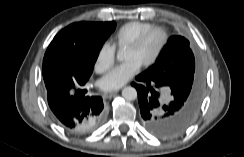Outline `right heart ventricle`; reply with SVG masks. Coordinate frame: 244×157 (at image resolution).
Masks as SVG:
<instances>
[{"instance_id": "right-heart-ventricle-1", "label": "right heart ventricle", "mask_w": 244, "mask_h": 157, "mask_svg": "<svg viewBox=\"0 0 244 157\" xmlns=\"http://www.w3.org/2000/svg\"><path fill=\"white\" fill-rule=\"evenodd\" d=\"M154 25L143 21H129L120 26L114 36V46L119 49L126 48L133 40H135L142 32L153 28Z\"/></svg>"}]
</instances>
